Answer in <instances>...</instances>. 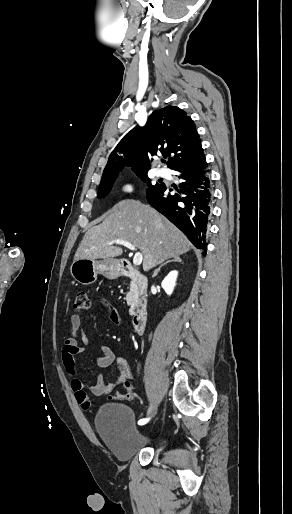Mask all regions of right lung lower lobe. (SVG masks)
<instances>
[{"instance_id":"98d812e1","label":"right lung lower lobe","mask_w":292,"mask_h":514,"mask_svg":"<svg viewBox=\"0 0 292 514\" xmlns=\"http://www.w3.org/2000/svg\"><path fill=\"white\" fill-rule=\"evenodd\" d=\"M183 182L172 193L162 183L147 192L148 202L176 225L199 249H205L212 191L209 170L204 154L174 169ZM206 255V250L202 252Z\"/></svg>"}]
</instances>
